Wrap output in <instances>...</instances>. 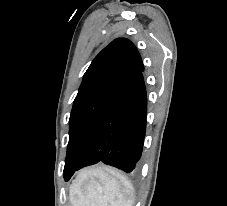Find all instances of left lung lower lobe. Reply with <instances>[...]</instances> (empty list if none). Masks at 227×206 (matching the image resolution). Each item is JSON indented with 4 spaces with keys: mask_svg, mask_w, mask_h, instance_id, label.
<instances>
[{
    "mask_svg": "<svg viewBox=\"0 0 227 206\" xmlns=\"http://www.w3.org/2000/svg\"><path fill=\"white\" fill-rule=\"evenodd\" d=\"M146 116L147 95L141 71L108 104L80 162L64 170L65 181L75 171L100 161L128 173L133 171L142 154Z\"/></svg>",
    "mask_w": 227,
    "mask_h": 206,
    "instance_id": "left-lung-lower-lobe-1",
    "label": "left lung lower lobe"
}]
</instances>
